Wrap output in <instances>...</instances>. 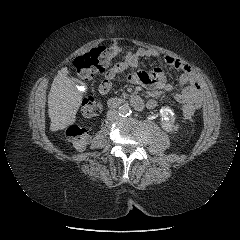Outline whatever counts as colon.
<instances>
[{"label": "colon", "instance_id": "obj_1", "mask_svg": "<svg viewBox=\"0 0 240 240\" xmlns=\"http://www.w3.org/2000/svg\"><path fill=\"white\" fill-rule=\"evenodd\" d=\"M122 52L118 45L98 47L78 57L74 62L77 76L84 80H90L94 75L103 73L109 67L111 60ZM82 112L86 117H97L101 112L99 103L92 96H86L82 100ZM183 114L186 120L193 121L195 109L192 105H184ZM66 137L77 150H83L89 141V132L83 125H71L66 130Z\"/></svg>", "mask_w": 240, "mask_h": 240}]
</instances>
